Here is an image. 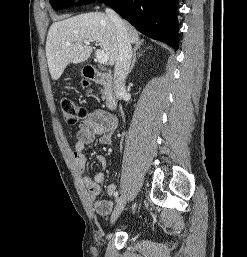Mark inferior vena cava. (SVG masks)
Masks as SVG:
<instances>
[{"label":"inferior vena cava","mask_w":247,"mask_h":257,"mask_svg":"<svg viewBox=\"0 0 247 257\" xmlns=\"http://www.w3.org/2000/svg\"><path fill=\"white\" fill-rule=\"evenodd\" d=\"M106 14L115 25L118 41V58L114 69V89L119 99L126 95L125 80L129 72L132 58L131 42L122 19L111 8H106Z\"/></svg>","instance_id":"1"}]
</instances>
